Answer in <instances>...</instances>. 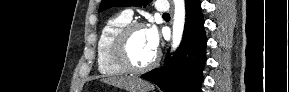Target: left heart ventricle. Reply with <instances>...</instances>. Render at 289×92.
Masks as SVG:
<instances>
[{
	"label": "left heart ventricle",
	"instance_id": "b2bd125f",
	"mask_svg": "<svg viewBox=\"0 0 289 92\" xmlns=\"http://www.w3.org/2000/svg\"><path fill=\"white\" fill-rule=\"evenodd\" d=\"M156 51L151 47L146 29L136 30L129 41L128 55L137 66L149 63L155 56Z\"/></svg>",
	"mask_w": 289,
	"mask_h": 92
}]
</instances>
